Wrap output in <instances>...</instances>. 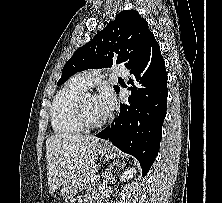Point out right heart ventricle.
<instances>
[{
  "mask_svg": "<svg viewBox=\"0 0 222 203\" xmlns=\"http://www.w3.org/2000/svg\"><path fill=\"white\" fill-rule=\"evenodd\" d=\"M86 91L73 79L68 81L56 95L51 109V123L60 135H77L83 127L76 117L75 107L78 98Z\"/></svg>",
  "mask_w": 222,
  "mask_h": 203,
  "instance_id": "right-heart-ventricle-1",
  "label": "right heart ventricle"
}]
</instances>
